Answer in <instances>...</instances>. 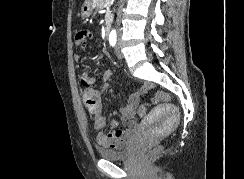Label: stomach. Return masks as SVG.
Here are the masks:
<instances>
[{"instance_id":"stomach-1","label":"stomach","mask_w":244,"mask_h":179,"mask_svg":"<svg viewBox=\"0 0 244 179\" xmlns=\"http://www.w3.org/2000/svg\"><path fill=\"white\" fill-rule=\"evenodd\" d=\"M92 10L93 6L91 0H86L81 8L82 18H89V16H91Z\"/></svg>"}]
</instances>
